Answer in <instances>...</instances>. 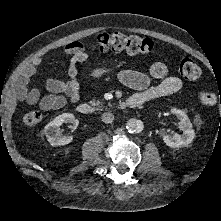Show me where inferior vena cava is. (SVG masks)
Wrapping results in <instances>:
<instances>
[{
    "label": "inferior vena cava",
    "instance_id": "1",
    "mask_svg": "<svg viewBox=\"0 0 221 221\" xmlns=\"http://www.w3.org/2000/svg\"><path fill=\"white\" fill-rule=\"evenodd\" d=\"M114 120V115L110 112H106L102 114V121L104 123H112Z\"/></svg>",
    "mask_w": 221,
    "mask_h": 221
}]
</instances>
